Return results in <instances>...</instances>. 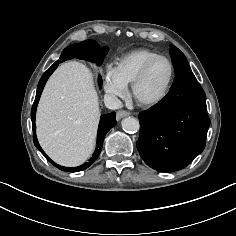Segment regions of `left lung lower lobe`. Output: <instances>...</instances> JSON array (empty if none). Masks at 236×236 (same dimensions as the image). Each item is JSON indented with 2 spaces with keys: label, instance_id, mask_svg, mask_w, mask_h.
I'll return each mask as SVG.
<instances>
[{
  "label": "left lung lower lobe",
  "instance_id": "1",
  "mask_svg": "<svg viewBox=\"0 0 236 236\" xmlns=\"http://www.w3.org/2000/svg\"><path fill=\"white\" fill-rule=\"evenodd\" d=\"M139 120L137 149L148 166L167 173L188 166L204 150L210 125L205 93L191 69L176 73L169 93Z\"/></svg>",
  "mask_w": 236,
  "mask_h": 236
}]
</instances>
